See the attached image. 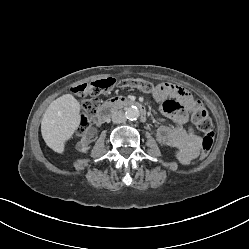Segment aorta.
<instances>
[{
	"label": "aorta",
	"mask_w": 249,
	"mask_h": 249,
	"mask_svg": "<svg viewBox=\"0 0 249 249\" xmlns=\"http://www.w3.org/2000/svg\"><path fill=\"white\" fill-rule=\"evenodd\" d=\"M125 115L129 120H136L139 117L140 112L136 106H131L126 108Z\"/></svg>",
	"instance_id": "762f6f07"
}]
</instances>
